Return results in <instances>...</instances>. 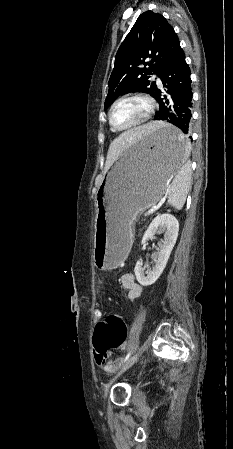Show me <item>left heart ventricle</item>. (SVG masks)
I'll return each instance as SVG.
<instances>
[{
    "label": "left heart ventricle",
    "mask_w": 233,
    "mask_h": 449,
    "mask_svg": "<svg viewBox=\"0 0 233 449\" xmlns=\"http://www.w3.org/2000/svg\"><path fill=\"white\" fill-rule=\"evenodd\" d=\"M147 104L138 98L120 101L113 109L112 121L116 126L124 127L141 120L147 113Z\"/></svg>",
    "instance_id": "b2bd125f"
}]
</instances>
